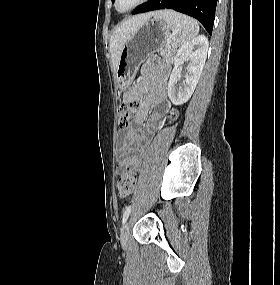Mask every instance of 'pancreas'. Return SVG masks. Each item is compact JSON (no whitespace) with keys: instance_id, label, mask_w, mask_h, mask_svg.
I'll return each instance as SVG.
<instances>
[{"instance_id":"obj_1","label":"pancreas","mask_w":280,"mask_h":285,"mask_svg":"<svg viewBox=\"0 0 280 285\" xmlns=\"http://www.w3.org/2000/svg\"><path fill=\"white\" fill-rule=\"evenodd\" d=\"M160 54L166 62H172L175 55V49L171 47H165V49H162L160 51Z\"/></svg>"}]
</instances>
